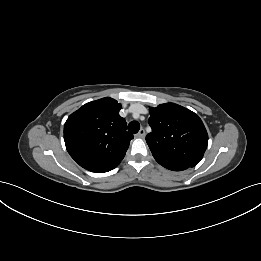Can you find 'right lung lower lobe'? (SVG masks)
I'll return each mask as SVG.
<instances>
[{
    "label": "right lung lower lobe",
    "instance_id": "98d812e1",
    "mask_svg": "<svg viewBox=\"0 0 261 261\" xmlns=\"http://www.w3.org/2000/svg\"><path fill=\"white\" fill-rule=\"evenodd\" d=\"M120 162L118 163H114V164H109V165H90L87 167H83L86 170H89L91 172H95V173H104V172H108L112 169H114L115 167L118 166Z\"/></svg>",
    "mask_w": 261,
    "mask_h": 261
}]
</instances>
